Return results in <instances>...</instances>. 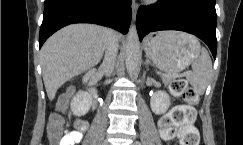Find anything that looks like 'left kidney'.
<instances>
[{
    "label": "left kidney",
    "instance_id": "obj_1",
    "mask_svg": "<svg viewBox=\"0 0 243 145\" xmlns=\"http://www.w3.org/2000/svg\"><path fill=\"white\" fill-rule=\"evenodd\" d=\"M150 106L156 115L164 114L170 107L169 95L165 91L154 93L150 100Z\"/></svg>",
    "mask_w": 243,
    "mask_h": 145
}]
</instances>
